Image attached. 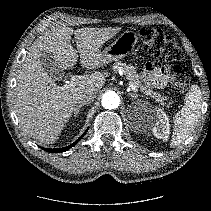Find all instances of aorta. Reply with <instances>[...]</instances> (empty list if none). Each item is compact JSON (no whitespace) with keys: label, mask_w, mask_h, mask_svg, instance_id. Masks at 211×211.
<instances>
[{"label":"aorta","mask_w":211,"mask_h":211,"mask_svg":"<svg viewBox=\"0 0 211 211\" xmlns=\"http://www.w3.org/2000/svg\"><path fill=\"white\" fill-rule=\"evenodd\" d=\"M120 104V98L119 96L113 92H106L102 97V106L105 109L112 110L116 109Z\"/></svg>","instance_id":"762f6f07"}]
</instances>
